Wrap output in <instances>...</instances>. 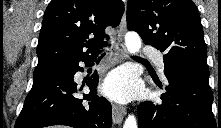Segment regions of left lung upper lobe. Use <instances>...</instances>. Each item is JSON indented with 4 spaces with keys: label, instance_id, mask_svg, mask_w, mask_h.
I'll return each instance as SVG.
<instances>
[{
    "label": "left lung upper lobe",
    "instance_id": "left-lung-upper-lobe-1",
    "mask_svg": "<svg viewBox=\"0 0 221 128\" xmlns=\"http://www.w3.org/2000/svg\"><path fill=\"white\" fill-rule=\"evenodd\" d=\"M127 28L163 59L209 72L207 48L196 5L191 0H128Z\"/></svg>",
    "mask_w": 221,
    "mask_h": 128
}]
</instances>
